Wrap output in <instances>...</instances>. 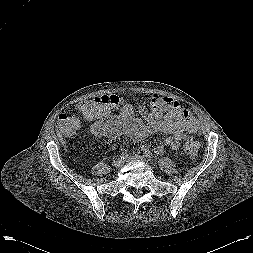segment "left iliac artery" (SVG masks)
I'll list each match as a JSON object with an SVG mask.
<instances>
[{"mask_svg": "<svg viewBox=\"0 0 253 253\" xmlns=\"http://www.w3.org/2000/svg\"><path fill=\"white\" fill-rule=\"evenodd\" d=\"M143 157L146 158V159H149V158H150V156H149L148 154L143 155Z\"/></svg>", "mask_w": 253, "mask_h": 253, "instance_id": "1", "label": "left iliac artery"}]
</instances>
